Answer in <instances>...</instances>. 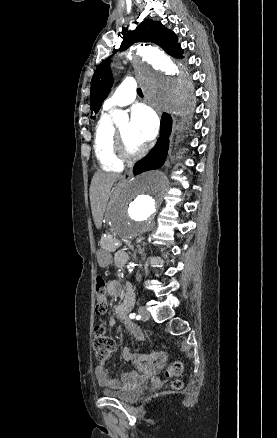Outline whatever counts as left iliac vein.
Segmentation results:
<instances>
[{
	"label": "left iliac vein",
	"mask_w": 277,
	"mask_h": 438,
	"mask_svg": "<svg viewBox=\"0 0 277 438\" xmlns=\"http://www.w3.org/2000/svg\"><path fill=\"white\" fill-rule=\"evenodd\" d=\"M138 313H139V315H140V317H141V319H142L143 321L148 320L149 317H150L149 312H148V311L146 310V308L143 307V306H140V307H139V309H138Z\"/></svg>",
	"instance_id": "left-iliac-vein-1"
}]
</instances>
